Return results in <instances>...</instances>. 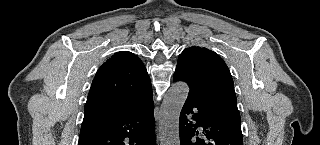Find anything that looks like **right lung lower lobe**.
Wrapping results in <instances>:
<instances>
[{
  "label": "right lung lower lobe",
  "mask_w": 320,
  "mask_h": 145,
  "mask_svg": "<svg viewBox=\"0 0 320 145\" xmlns=\"http://www.w3.org/2000/svg\"><path fill=\"white\" fill-rule=\"evenodd\" d=\"M152 94L137 108L108 119L82 123L78 145H155Z\"/></svg>",
  "instance_id": "obj_1"
}]
</instances>
